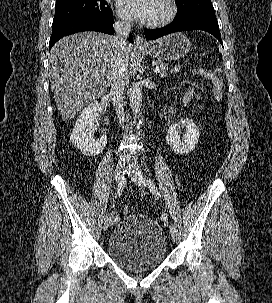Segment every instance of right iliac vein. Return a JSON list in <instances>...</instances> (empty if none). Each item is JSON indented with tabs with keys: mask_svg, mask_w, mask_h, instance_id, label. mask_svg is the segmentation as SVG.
Wrapping results in <instances>:
<instances>
[{
	"mask_svg": "<svg viewBox=\"0 0 272 303\" xmlns=\"http://www.w3.org/2000/svg\"><path fill=\"white\" fill-rule=\"evenodd\" d=\"M123 168H124V160H119L116 169H115V179L116 182L119 184L120 182L123 181ZM110 225V219H108V221H104L103 223V230L107 231Z\"/></svg>",
	"mask_w": 272,
	"mask_h": 303,
	"instance_id": "right-iliac-vein-1",
	"label": "right iliac vein"
}]
</instances>
